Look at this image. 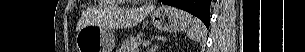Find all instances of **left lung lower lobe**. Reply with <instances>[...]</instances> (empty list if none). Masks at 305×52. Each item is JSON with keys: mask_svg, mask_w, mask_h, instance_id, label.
<instances>
[{"mask_svg": "<svg viewBox=\"0 0 305 52\" xmlns=\"http://www.w3.org/2000/svg\"><path fill=\"white\" fill-rule=\"evenodd\" d=\"M160 2L188 11L202 20L208 28L211 0H160Z\"/></svg>", "mask_w": 305, "mask_h": 52, "instance_id": "left-lung-lower-lobe-1", "label": "left lung lower lobe"}]
</instances>
